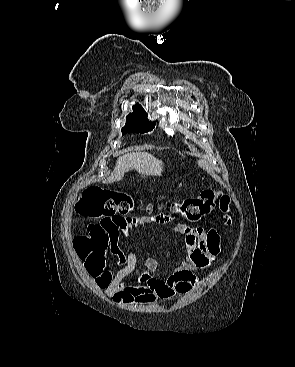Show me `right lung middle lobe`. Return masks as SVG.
I'll return each instance as SVG.
<instances>
[{
  "label": "right lung middle lobe",
  "mask_w": 295,
  "mask_h": 367,
  "mask_svg": "<svg viewBox=\"0 0 295 367\" xmlns=\"http://www.w3.org/2000/svg\"><path fill=\"white\" fill-rule=\"evenodd\" d=\"M154 127L155 123L147 120V113L140 107L126 117V124L122 128V134L145 133Z\"/></svg>",
  "instance_id": "dd1d6c3e"
}]
</instances>
